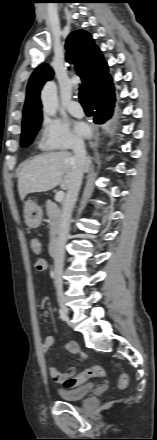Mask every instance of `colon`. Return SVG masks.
I'll return each instance as SVG.
<instances>
[{"label":"colon","mask_w":157,"mask_h":440,"mask_svg":"<svg viewBox=\"0 0 157 440\" xmlns=\"http://www.w3.org/2000/svg\"><path fill=\"white\" fill-rule=\"evenodd\" d=\"M30 248L33 251V253L39 255L42 251V244L38 238H32L30 241ZM47 267V262L43 258H38L35 262V268L38 271H43ZM104 369L100 366H93L90 368L85 369L83 372L78 374L77 376H72L65 380L64 386L67 389H73L76 388L82 384H84L87 380L99 377L104 375ZM128 384V377L125 374H122L118 381V388L124 389Z\"/></svg>","instance_id":"colon-1"}]
</instances>
